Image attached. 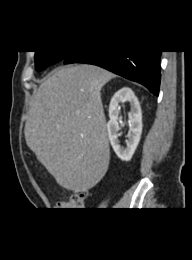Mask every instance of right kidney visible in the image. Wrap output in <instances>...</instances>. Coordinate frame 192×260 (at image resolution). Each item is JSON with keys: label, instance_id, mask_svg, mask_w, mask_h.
Returning a JSON list of instances; mask_svg holds the SVG:
<instances>
[{"label": "right kidney", "instance_id": "ca27d5eb", "mask_svg": "<svg viewBox=\"0 0 192 260\" xmlns=\"http://www.w3.org/2000/svg\"><path fill=\"white\" fill-rule=\"evenodd\" d=\"M128 101L131 107L128 113L130 128L127 135L126 147L120 145L119 141V103ZM109 118L107 133L113 150L122 161H130L141 138L142 134V112L139 101L134 92L124 87L117 91L109 105Z\"/></svg>", "mask_w": 192, "mask_h": 260}]
</instances>
